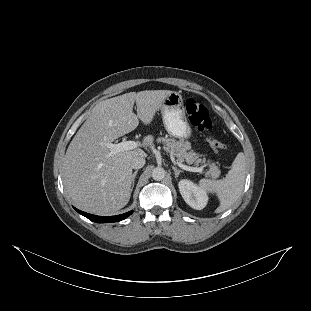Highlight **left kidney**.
Listing matches in <instances>:
<instances>
[{"label":"left kidney","instance_id":"1","mask_svg":"<svg viewBox=\"0 0 311 311\" xmlns=\"http://www.w3.org/2000/svg\"><path fill=\"white\" fill-rule=\"evenodd\" d=\"M184 201L193 209L202 210L208 202L206 191L190 180L182 179L178 183Z\"/></svg>","mask_w":311,"mask_h":311}]
</instances>
